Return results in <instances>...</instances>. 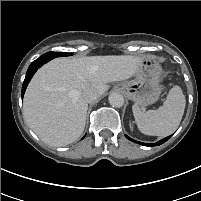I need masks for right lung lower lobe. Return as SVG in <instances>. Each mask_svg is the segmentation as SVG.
Wrapping results in <instances>:
<instances>
[{
    "mask_svg": "<svg viewBox=\"0 0 201 201\" xmlns=\"http://www.w3.org/2000/svg\"><path fill=\"white\" fill-rule=\"evenodd\" d=\"M51 59H53V56H48V55L44 54V55L40 56L38 59H36L35 61H33L31 63V65L29 66V68L27 70L25 80L23 82L22 97H23V95L25 93V90H26V87H27L28 83L30 82L32 76L37 71V69L40 68L43 64H45L48 61H50Z\"/></svg>",
    "mask_w": 201,
    "mask_h": 201,
    "instance_id": "98d812e1",
    "label": "right lung lower lobe"
}]
</instances>
